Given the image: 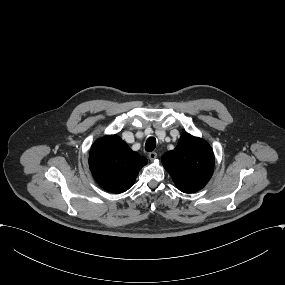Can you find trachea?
<instances>
[{
    "label": "trachea",
    "instance_id": "3493384b",
    "mask_svg": "<svg viewBox=\"0 0 285 285\" xmlns=\"http://www.w3.org/2000/svg\"><path fill=\"white\" fill-rule=\"evenodd\" d=\"M156 147V139L154 137H149L146 140V144H145V150L147 152H152Z\"/></svg>",
    "mask_w": 285,
    "mask_h": 285
}]
</instances>
